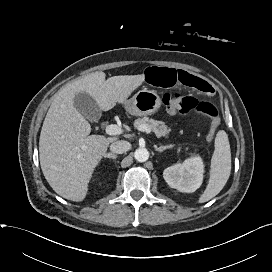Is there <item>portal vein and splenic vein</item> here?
<instances>
[{
	"label": "portal vein and splenic vein",
	"instance_id": "18ae733b",
	"mask_svg": "<svg viewBox=\"0 0 272 272\" xmlns=\"http://www.w3.org/2000/svg\"><path fill=\"white\" fill-rule=\"evenodd\" d=\"M140 131L142 132H146L148 134L151 133V130L147 127V126H140L138 128ZM105 132L108 134V135H119L121 134L122 130L120 127H118L116 124H110L108 126H106V129H105Z\"/></svg>",
	"mask_w": 272,
	"mask_h": 272
}]
</instances>
